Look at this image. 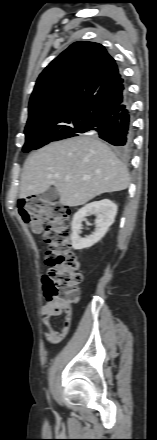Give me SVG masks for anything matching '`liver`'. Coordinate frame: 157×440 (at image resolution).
<instances>
[{
	"instance_id": "obj_1",
	"label": "liver",
	"mask_w": 157,
	"mask_h": 440,
	"mask_svg": "<svg viewBox=\"0 0 157 440\" xmlns=\"http://www.w3.org/2000/svg\"><path fill=\"white\" fill-rule=\"evenodd\" d=\"M62 205H83L94 197L125 190L126 166L95 136L52 142L28 156L21 176L19 196L42 194L51 186Z\"/></svg>"
}]
</instances>
